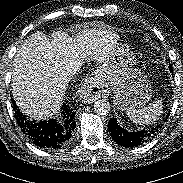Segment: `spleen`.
Here are the masks:
<instances>
[{"mask_svg":"<svg viewBox=\"0 0 183 183\" xmlns=\"http://www.w3.org/2000/svg\"><path fill=\"white\" fill-rule=\"evenodd\" d=\"M163 113V101L157 100L150 105L139 109H128L126 114L136 124L148 125L158 120Z\"/></svg>","mask_w":183,"mask_h":183,"instance_id":"3e777b00","label":"spleen"}]
</instances>
